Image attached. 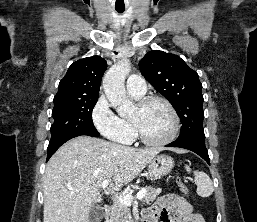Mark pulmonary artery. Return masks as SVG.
<instances>
[{
	"label": "pulmonary artery",
	"instance_id": "1",
	"mask_svg": "<svg viewBox=\"0 0 257 222\" xmlns=\"http://www.w3.org/2000/svg\"><path fill=\"white\" fill-rule=\"evenodd\" d=\"M127 91L129 94L142 97L147 90L146 82L140 75H132L127 79L126 82Z\"/></svg>",
	"mask_w": 257,
	"mask_h": 222
}]
</instances>
